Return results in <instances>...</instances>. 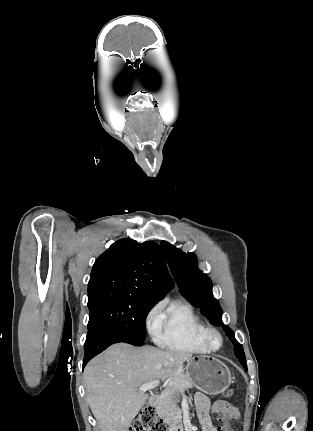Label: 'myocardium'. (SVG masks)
Instances as JSON below:
<instances>
[{
	"instance_id": "1",
	"label": "myocardium",
	"mask_w": 313,
	"mask_h": 431,
	"mask_svg": "<svg viewBox=\"0 0 313 431\" xmlns=\"http://www.w3.org/2000/svg\"><path fill=\"white\" fill-rule=\"evenodd\" d=\"M215 336L217 337L219 344L217 346L213 345L211 342V338ZM203 341L206 347L211 351L219 350L223 345V336L220 331L214 327H208L204 333Z\"/></svg>"
}]
</instances>
